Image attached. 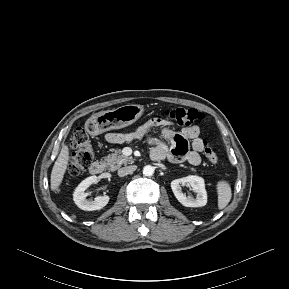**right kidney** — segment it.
<instances>
[{
	"instance_id": "1",
	"label": "right kidney",
	"mask_w": 289,
	"mask_h": 289,
	"mask_svg": "<svg viewBox=\"0 0 289 289\" xmlns=\"http://www.w3.org/2000/svg\"><path fill=\"white\" fill-rule=\"evenodd\" d=\"M96 183H98V178L96 176H90L83 180L75 189L73 200L80 209L85 211L100 210L108 204L109 196H98L93 201L86 199L89 195V193L85 192L86 189Z\"/></svg>"
}]
</instances>
